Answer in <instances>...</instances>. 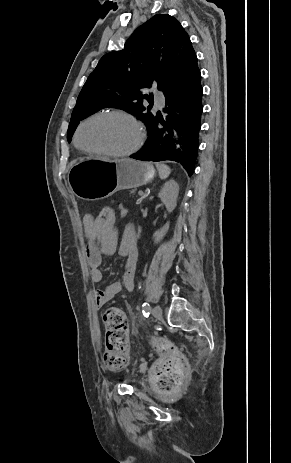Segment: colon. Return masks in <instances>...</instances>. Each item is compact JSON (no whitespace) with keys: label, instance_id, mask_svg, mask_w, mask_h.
Listing matches in <instances>:
<instances>
[{"label":"colon","instance_id":"1","mask_svg":"<svg viewBox=\"0 0 291 463\" xmlns=\"http://www.w3.org/2000/svg\"><path fill=\"white\" fill-rule=\"evenodd\" d=\"M118 210L111 206L96 211L98 229L104 231L107 226H115ZM105 327L104 364L109 370L123 369L129 360L128 327L124 313L118 308L108 309L103 317ZM155 346L159 351L175 349L167 339H156ZM158 387L167 390L181 382L187 375V369L179 357L169 359L156 367Z\"/></svg>","mask_w":291,"mask_h":463}]
</instances>
